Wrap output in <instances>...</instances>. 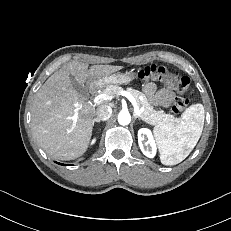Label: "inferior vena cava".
Here are the masks:
<instances>
[{"mask_svg":"<svg viewBox=\"0 0 231 231\" xmlns=\"http://www.w3.org/2000/svg\"><path fill=\"white\" fill-rule=\"evenodd\" d=\"M96 115L99 121H106L108 120L112 115V109L110 106L107 105H101L96 110Z\"/></svg>","mask_w":231,"mask_h":231,"instance_id":"inferior-vena-cava-1","label":"inferior vena cava"}]
</instances>
